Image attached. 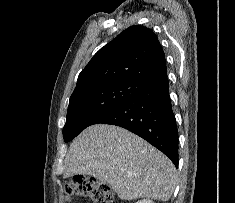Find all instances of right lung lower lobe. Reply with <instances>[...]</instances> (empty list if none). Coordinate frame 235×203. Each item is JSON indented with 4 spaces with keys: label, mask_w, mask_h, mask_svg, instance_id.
Here are the masks:
<instances>
[{
    "label": "right lung lower lobe",
    "mask_w": 235,
    "mask_h": 203,
    "mask_svg": "<svg viewBox=\"0 0 235 203\" xmlns=\"http://www.w3.org/2000/svg\"><path fill=\"white\" fill-rule=\"evenodd\" d=\"M123 127L142 137L178 166V130L167 75L100 117L95 124Z\"/></svg>",
    "instance_id": "1"
}]
</instances>
